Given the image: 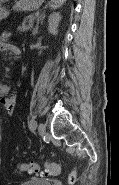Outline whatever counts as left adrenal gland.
Listing matches in <instances>:
<instances>
[{
    "mask_svg": "<svg viewBox=\"0 0 119 185\" xmlns=\"http://www.w3.org/2000/svg\"><path fill=\"white\" fill-rule=\"evenodd\" d=\"M43 13L38 17V19H37V23H36V26H35V29L33 30V35H36L37 33H38V27H39V22H40V20L42 19V17H43Z\"/></svg>",
    "mask_w": 119,
    "mask_h": 185,
    "instance_id": "left-adrenal-gland-1",
    "label": "left adrenal gland"
}]
</instances>
